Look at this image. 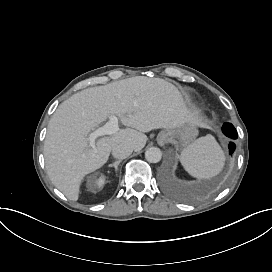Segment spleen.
Wrapping results in <instances>:
<instances>
[{
    "label": "spleen",
    "instance_id": "obj_1",
    "mask_svg": "<svg viewBox=\"0 0 272 272\" xmlns=\"http://www.w3.org/2000/svg\"><path fill=\"white\" fill-rule=\"evenodd\" d=\"M224 161L223 151L212 136L200 137L181 152L185 169L197 178H208L220 171Z\"/></svg>",
    "mask_w": 272,
    "mask_h": 272
}]
</instances>
